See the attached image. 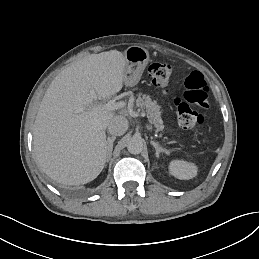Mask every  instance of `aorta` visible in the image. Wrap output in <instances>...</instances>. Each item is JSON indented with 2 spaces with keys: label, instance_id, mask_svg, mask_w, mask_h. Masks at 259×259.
<instances>
[{
  "label": "aorta",
  "instance_id": "762f6f07",
  "mask_svg": "<svg viewBox=\"0 0 259 259\" xmlns=\"http://www.w3.org/2000/svg\"><path fill=\"white\" fill-rule=\"evenodd\" d=\"M127 149L131 154H140L143 150V142L138 138H131L127 143Z\"/></svg>",
  "mask_w": 259,
  "mask_h": 259
}]
</instances>
